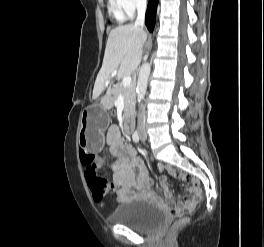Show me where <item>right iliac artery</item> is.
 I'll list each match as a JSON object with an SVG mask.
<instances>
[{
	"instance_id": "82829eb1",
	"label": "right iliac artery",
	"mask_w": 264,
	"mask_h": 247,
	"mask_svg": "<svg viewBox=\"0 0 264 247\" xmlns=\"http://www.w3.org/2000/svg\"><path fill=\"white\" fill-rule=\"evenodd\" d=\"M132 138H133L134 142H136V143L139 142L140 136H139V132L137 130L134 132Z\"/></svg>"
}]
</instances>
